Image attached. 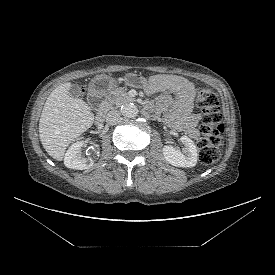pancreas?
<instances>
[{"label":"pancreas","mask_w":275,"mask_h":275,"mask_svg":"<svg viewBox=\"0 0 275 275\" xmlns=\"http://www.w3.org/2000/svg\"><path fill=\"white\" fill-rule=\"evenodd\" d=\"M134 98L130 97L126 90L117 89L114 90L109 96L105 99V104L107 108H112L113 105L119 107L120 105L133 101Z\"/></svg>","instance_id":"1"}]
</instances>
